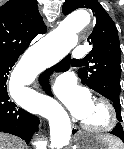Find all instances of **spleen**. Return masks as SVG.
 <instances>
[{"instance_id": "spleen-1", "label": "spleen", "mask_w": 124, "mask_h": 149, "mask_svg": "<svg viewBox=\"0 0 124 149\" xmlns=\"http://www.w3.org/2000/svg\"><path fill=\"white\" fill-rule=\"evenodd\" d=\"M118 145H119L118 142L115 139H113L112 147L110 149H118Z\"/></svg>"}]
</instances>
